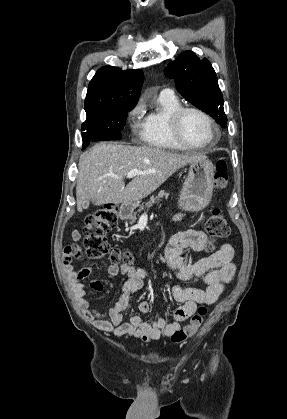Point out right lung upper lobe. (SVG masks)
Segmentation results:
<instances>
[{
    "label": "right lung upper lobe",
    "mask_w": 287,
    "mask_h": 419,
    "mask_svg": "<svg viewBox=\"0 0 287 419\" xmlns=\"http://www.w3.org/2000/svg\"><path fill=\"white\" fill-rule=\"evenodd\" d=\"M144 75L141 70L122 71L105 66L90 81L85 99L86 113L137 103Z\"/></svg>",
    "instance_id": "right-lung-upper-lobe-1"
}]
</instances>
